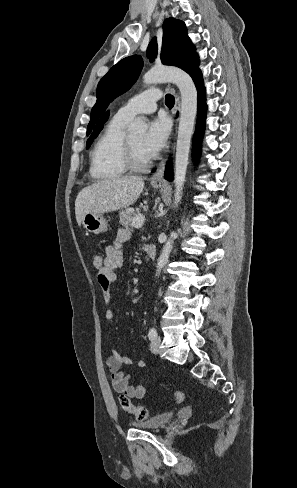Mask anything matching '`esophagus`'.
<instances>
[{
	"label": "esophagus",
	"instance_id": "obj_1",
	"mask_svg": "<svg viewBox=\"0 0 297 488\" xmlns=\"http://www.w3.org/2000/svg\"><path fill=\"white\" fill-rule=\"evenodd\" d=\"M175 113H178L180 111V97L179 95H176L175 99ZM167 158L163 159L155 172V174L151 178V183L152 184H160L164 181V170H165V165H166Z\"/></svg>",
	"mask_w": 297,
	"mask_h": 488
}]
</instances>
